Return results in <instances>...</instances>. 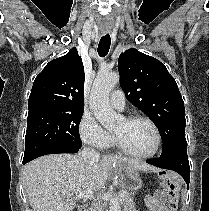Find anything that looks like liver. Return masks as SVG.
<instances>
[{
    "instance_id": "1",
    "label": "liver",
    "mask_w": 209,
    "mask_h": 211,
    "mask_svg": "<svg viewBox=\"0 0 209 211\" xmlns=\"http://www.w3.org/2000/svg\"><path fill=\"white\" fill-rule=\"evenodd\" d=\"M116 164L134 171L158 172L159 169L128 158L104 156L86 163L81 154H51L39 157L23 168V185L33 211H73L75 197L84 191L101 190Z\"/></svg>"
}]
</instances>
